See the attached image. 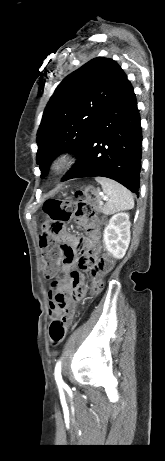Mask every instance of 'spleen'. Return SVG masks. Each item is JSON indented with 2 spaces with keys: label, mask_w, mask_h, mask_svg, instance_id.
Here are the masks:
<instances>
[{
  "label": "spleen",
  "mask_w": 165,
  "mask_h": 461,
  "mask_svg": "<svg viewBox=\"0 0 165 461\" xmlns=\"http://www.w3.org/2000/svg\"><path fill=\"white\" fill-rule=\"evenodd\" d=\"M96 181L101 184L103 192L109 198L102 212L105 214H114L119 211L130 210L134 207L133 195L127 188L114 180L104 177H97Z\"/></svg>",
  "instance_id": "1"
}]
</instances>
